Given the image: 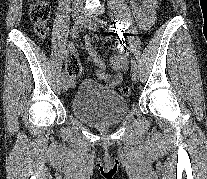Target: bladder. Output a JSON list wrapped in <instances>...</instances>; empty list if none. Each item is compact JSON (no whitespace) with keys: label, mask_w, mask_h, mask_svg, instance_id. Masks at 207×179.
Segmentation results:
<instances>
[{"label":"bladder","mask_w":207,"mask_h":179,"mask_svg":"<svg viewBox=\"0 0 207 179\" xmlns=\"http://www.w3.org/2000/svg\"><path fill=\"white\" fill-rule=\"evenodd\" d=\"M72 113L86 124L103 126L122 120L129 102L117 92L91 81H83L70 102Z\"/></svg>","instance_id":"1"}]
</instances>
